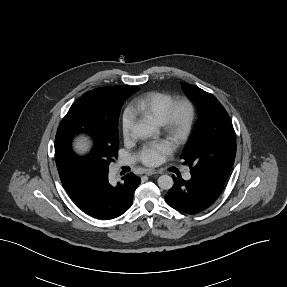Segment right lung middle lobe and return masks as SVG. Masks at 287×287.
Listing matches in <instances>:
<instances>
[{
    "instance_id": "obj_1",
    "label": "right lung middle lobe",
    "mask_w": 287,
    "mask_h": 287,
    "mask_svg": "<svg viewBox=\"0 0 287 287\" xmlns=\"http://www.w3.org/2000/svg\"><path fill=\"white\" fill-rule=\"evenodd\" d=\"M139 87L117 91L109 87L86 92L62 119L55 138V158L65 155L82 161L89 172L108 173L109 164L117 158L119 146L118 118L124 101ZM85 134L92 140V148L84 156L76 157L71 151L74 135Z\"/></svg>"
}]
</instances>
